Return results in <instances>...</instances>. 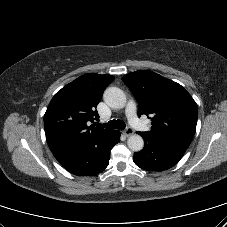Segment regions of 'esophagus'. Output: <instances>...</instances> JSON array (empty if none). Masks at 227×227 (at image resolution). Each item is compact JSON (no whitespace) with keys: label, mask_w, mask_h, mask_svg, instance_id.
<instances>
[{"label":"esophagus","mask_w":227,"mask_h":227,"mask_svg":"<svg viewBox=\"0 0 227 227\" xmlns=\"http://www.w3.org/2000/svg\"><path fill=\"white\" fill-rule=\"evenodd\" d=\"M123 133L128 137L134 133V130L131 127H127Z\"/></svg>","instance_id":"34e87169"}]
</instances>
